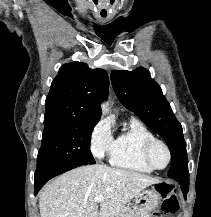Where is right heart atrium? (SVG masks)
<instances>
[{"mask_svg":"<svg viewBox=\"0 0 211 217\" xmlns=\"http://www.w3.org/2000/svg\"><path fill=\"white\" fill-rule=\"evenodd\" d=\"M114 144V137L110 124L100 120L90 134V148L94 156L104 158L110 156Z\"/></svg>","mask_w":211,"mask_h":217,"instance_id":"obj_1","label":"right heart atrium"}]
</instances>
